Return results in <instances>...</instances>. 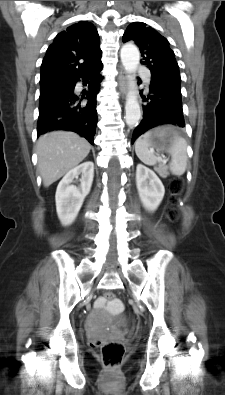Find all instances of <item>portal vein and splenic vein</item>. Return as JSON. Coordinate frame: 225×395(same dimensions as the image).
Wrapping results in <instances>:
<instances>
[{"mask_svg": "<svg viewBox=\"0 0 225 395\" xmlns=\"http://www.w3.org/2000/svg\"><path fill=\"white\" fill-rule=\"evenodd\" d=\"M158 160H159L163 165H165V164L167 163V160L164 159V158H162V157H159Z\"/></svg>", "mask_w": 225, "mask_h": 395, "instance_id": "portal-vein-and-splenic-vein-1", "label": "portal vein and splenic vein"}]
</instances>
